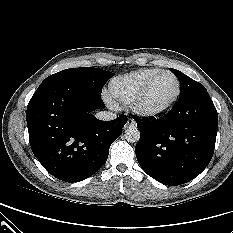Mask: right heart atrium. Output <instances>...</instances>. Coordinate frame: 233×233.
Listing matches in <instances>:
<instances>
[{"label":"right heart atrium","mask_w":233,"mask_h":233,"mask_svg":"<svg viewBox=\"0 0 233 233\" xmlns=\"http://www.w3.org/2000/svg\"><path fill=\"white\" fill-rule=\"evenodd\" d=\"M106 101L108 102V104L110 105V106H114V102H113V100L110 98V97H106Z\"/></svg>","instance_id":"1"}]
</instances>
